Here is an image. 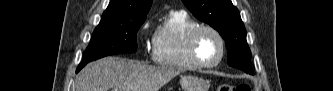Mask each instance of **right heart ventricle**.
Listing matches in <instances>:
<instances>
[{
	"mask_svg": "<svg viewBox=\"0 0 333 91\" xmlns=\"http://www.w3.org/2000/svg\"><path fill=\"white\" fill-rule=\"evenodd\" d=\"M197 23L183 11L169 12L153 38V61L166 68L189 71L199 67L188 51V34Z\"/></svg>",
	"mask_w": 333,
	"mask_h": 91,
	"instance_id": "e07e8e85",
	"label": "right heart ventricle"
}]
</instances>
